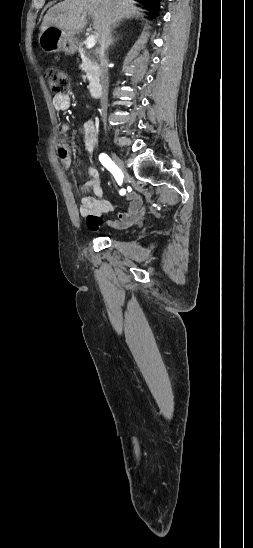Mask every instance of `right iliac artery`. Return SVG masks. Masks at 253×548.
<instances>
[{
  "label": "right iliac artery",
  "instance_id": "right-iliac-artery-1",
  "mask_svg": "<svg viewBox=\"0 0 253 548\" xmlns=\"http://www.w3.org/2000/svg\"><path fill=\"white\" fill-rule=\"evenodd\" d=\"M99 160L101 164L113 174L118 184H121L123 179V174L121 170L109 158V156L105 153H102L99 155ZM124 194H125V189H121L120 195H124Z\"/></svg>",
  "mask_w": 253,
  "mask_h": 548
}]
</instances>
